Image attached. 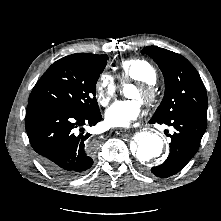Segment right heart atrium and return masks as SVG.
Listing matches in <instances>:
<instances>
[{
    "label": "right heart atrium",
    "instance_id": "obj_1",
    "mask_svg": "<svg viewBox=\"0 0 221 221\" xmlns=\"http://www.w3.org/2000/svg\"><path fill=\"white\" fill-rule=\"evenodd\" d=\"M119 85L116 79L109 73L100 75L95 85V97L99 105L105 106L118 91Z\"/></svg>",
    "mask_w": 221,
    "mask_h": 221
}]
</instances>
